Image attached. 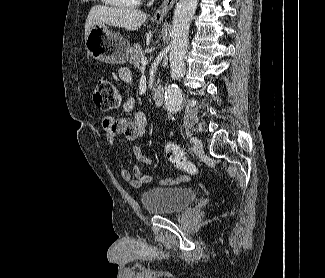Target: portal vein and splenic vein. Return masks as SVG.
<instances>
[{
    "mask_svg": "<svg viewBox=\"0 0 325 278\" xmlns=\"http://www.w3.org/2000/svg\"><path fill=\"white\" fill-rule=\"evenodd\" d=\"M148 64V58L147 57H143L141 59V65L142 67L146 66Z\"/></svg>",
    "mask_w": 325,
    "mask_h": 278,
    "instance_id": "18ae733b",
    "label": "portal vein and splenic vein"
}]
</instances>
